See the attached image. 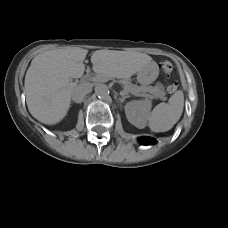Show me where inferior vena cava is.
Returning <instances> with one entry per match:
<instances>
[{
	"instance_id": "1",
	"label": "inferior vena cava",
	"mask_w": 228,
	"mask_h": 228,
	"mask_svg": "<svg viewBox=\"0 0 228 228\" xmlns=\"http://www.w3.org/2000/svg\"><path fill=\"white\" fill-rule=\"evenodd\" d=\"M90 91V87H87L84 84L78 85L73 89L71 93L72 100L75 103H81Z\"/></svg>"
}]
</instances>
